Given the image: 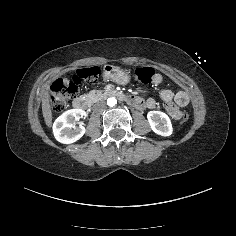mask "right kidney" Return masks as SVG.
Wrapping results in <instances>:
<instances>
[{
    "label": "right kidney",
    "instance_id": "ca27d5eb",
    "mask_svg": "<svg viewBox=\"0 0 236 236\" xmlns=\"http://www.w3.org/2000/svg\"><path fill=\"white\" fill-rule=\"evenodd\" d=\"M82 109H71L59 116L53 124V134L57 141L63 144H71L79 140L85 133V127L75 126L76 121L86 117Z\"/></svg>",
    "mask_w": 236,
    "mask_h": 236
}]
</instances>
